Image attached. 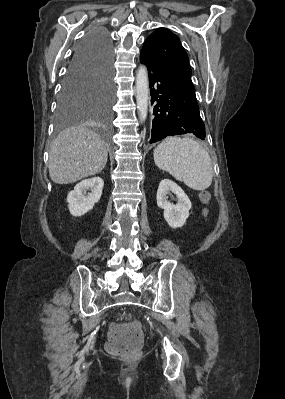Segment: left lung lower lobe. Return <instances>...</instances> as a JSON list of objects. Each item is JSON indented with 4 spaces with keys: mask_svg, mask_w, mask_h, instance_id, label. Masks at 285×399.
<instances>
[{
    "mask_svg": "<svg viewBox=\"0 0 285 399\" xmlns=\"http://www.w3.org/2000/svg\"><path fill=\"white\" fill-rule=\"evenodd\" d=\"M140 61L146 64L154 105L152 137L155 143L170 135L192 133L205 139V125L200 117L196 95L172 77L162 65L141 50Z\"/></svg>",
    "mask_w": 285,
    "mask_h": 399,
    "instance_id": "obj_1",
    "label": "left lung lower lobe"
}]
</instances>
